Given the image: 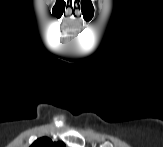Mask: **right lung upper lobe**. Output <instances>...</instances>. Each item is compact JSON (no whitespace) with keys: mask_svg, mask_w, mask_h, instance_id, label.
<instances>
[{"mask_svg":"<svg viewBox=\"0 0 163 147\" xmlns=\"http://www.w3.org/2000/svg\"><path fill=\"white\" fill-rule=\"evenodd\" d=\"M64 143L62 142H53L47 137H42L37 139L31 147H63Z\"/></svg>","mask_w":163,"mask_h":147,"instance_id":"1","label":"right lung upper lobe"}]
</instances>
